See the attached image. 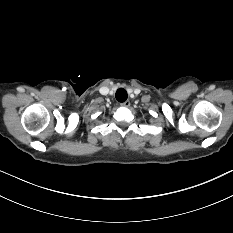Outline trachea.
Returning <instances> with one entry per match:
<instances>
[{"mask_svg": "<svg viewBox=\"0 0 233 233\" xmlns=\"http://www.w3.org/2000/svg\"><path fill=\"white\" fill-rule=\"evenodd\" d=\"M115 97L119 102H125L127 100V91L123 88H120L116 91Z\"/></svg>", "mask_w": 233, "mask_h": 233, "instance_id": "obj_1", "label": "trachea"}]
</instances>
